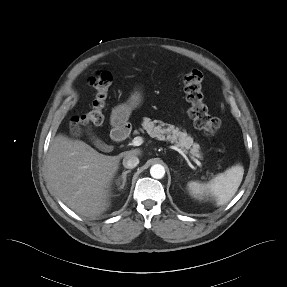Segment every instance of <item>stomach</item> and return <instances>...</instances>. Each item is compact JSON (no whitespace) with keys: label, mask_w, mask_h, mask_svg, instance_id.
I'll list each match as a JSON object with an SVG mask.
<instances>
[{"label":"stomach","mask_w":287,"mask_h":287,"mask_svg":"<svg viewBox=\"0 0 287 287\" xmlns=\"http://www.w3.org/2000/svg\"><path fill=\"white\" fill-rule=\"evenodd\" d=\"M140 89L141 87H136L126 103L113 109L110 117V123L113 127L112 132L120 131L128 125L132 110L138 107L143 100Z\"/></svg>","instance_id":"0dacf381"}]
</instances>
